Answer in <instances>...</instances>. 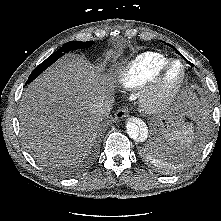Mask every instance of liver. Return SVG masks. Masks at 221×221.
I'll list each match as a JSON object with an SVG mask.
<instances>
[{
    "label": "liver",
    "mask_w": 221,
    "mask_h": 221,
    "mask_svg": "<svg viewBox=\"0 0 221 221\" xmlns=\"http://www.w3.org/2000/svg\"><path fill=\"white\" fill-rule=\"evenodd\" d=\"M111 81L85 59L71 55L28 85L19 117L22 136L34 155L62 165L83 160L102 121L98 105L111 97ZM185 97L187 105L194 102V97Z\"/></svg>",
    "instance_id": "6515ba94"
}]
</instances>
